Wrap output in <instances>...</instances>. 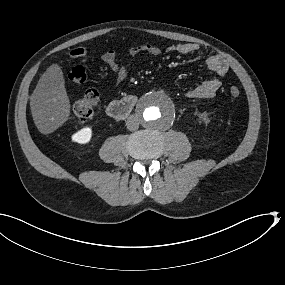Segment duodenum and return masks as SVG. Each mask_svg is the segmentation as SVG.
I'll return each mask as SVG.
<instances>
[{
  "instance_id": "410a0bca",
  "label": "duodenum",
  "mask_w": 285,
  "mask_h": 285,
  "mask_svg": "<svg viewBox=\"0 0 285 285\" xmlns=\"http://www.w3.org/2000/svg\"><path fill=\"white\" fill-rule=\"evenodd\" d=\"M137 98L129 95L120 100L112 101L106 108L108 116L121 120L127 118L133 111Z\"/></svg>"
}]
</instances>
